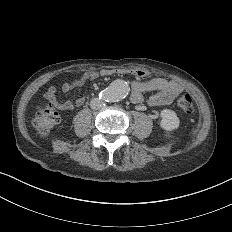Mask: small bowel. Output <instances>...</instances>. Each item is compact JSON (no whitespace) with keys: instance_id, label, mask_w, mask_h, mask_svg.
<instances>
[{"instance_id":"c3829d8e","label":"small bowel","mask_w":232,"mask_h":232,"mask_svg":"<svg viewBox=\"0 0 232 232\" xmlns=\"http://www.w3.org/2000/svg\"><path fill=\"white\" fill-rule=\"evenodd\" d=\"M145 75L146 71L141 69H103L87 73V75L82 80L63 83L62 90L64 92H70L76 87H79L86 82L94 81L99 77L131 76L132 79L129 81V86L132 91L130 96V100L132 102H141L143 100V91L145 86L159 88L161 90V92L151 96L150 103L153 105L168 103L183 90L182 84L175 81H168L163 78L155 77L150 78L143 83L140 82L139 78ZM47 93L53 105L62 110L73 109L82 105L84 102V97L88 95V92H86L84 97L81 98H76L73 100H61L57 96V89L55 86H50L47 90Z\"/></svg>"}]
</instances>
